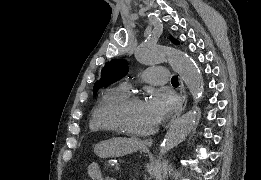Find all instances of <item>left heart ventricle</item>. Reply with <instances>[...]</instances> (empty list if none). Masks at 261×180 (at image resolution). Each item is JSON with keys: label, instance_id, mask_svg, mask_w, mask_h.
Segmentation results:
<instances>
[{"label": "left heart ventricle", "instance_id": "left-heart-ventricle-1", "mask_svg": "<svg viewBox=\"0 0 261 180\" xmlns=\"http://www.w3.org/2000/svg\"><path fill=\"white\" fill-rule=\"evenodd\" d=\"M117 118L126 133L133 136H143L147 134L158 121L147 107L144 99L137 100L131 105L121 109L117 113Z\"/></svg>", "mask_w": 261, "mask_h": 180}]
</instances>
